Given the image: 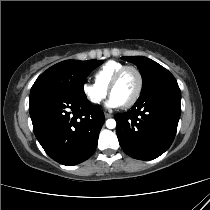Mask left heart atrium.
I'll return each instance as SVG.
<instances>
[{
  "label": "left heart atrium",
  "instance_id": "1",
  "mask_svg": "<svg viewBox=\"0 0 210 210\" xmlns=\"http://www.w3.org/2000/svg\"><path fill=\"white\" fill-rule=\"evenodd\" d=\"M106 105L109 108H117V107L122 106V103L116 97L111 95Z\"/></svg>",
  "mask_w": 210,
  "mask_h": 210
}]
</instances>
